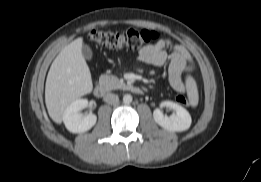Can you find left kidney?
I'll return each instance as SVG.
<instances>
[{"mask_svg":"<svg viewBox=\"0 0 261 182\" xmlns=\"http://www.w3.org/2000/svg\"><path fill=\"white\" fill-rule=\"evenodd\" d=\"M160 106L173 109L175 114L166 116L159 108L155 109L153 112V117L158 125L172 132H182L189 129L192 119L189 112L185 108L172 101H164Z\"/></svg>","mask_w":261,"mask_h":182,"instance_id":"5707ae66","label":"left kidney"}]
</instances>
